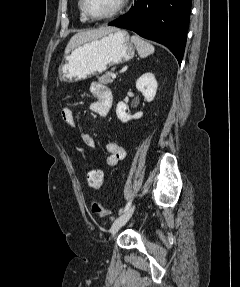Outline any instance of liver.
<instances>
[{
    "label": "liver",
    "instance_id": "1",
    "mask_svg": "<svg viewBox=\"0 0 240 287\" xmlns=\"http://www.w3.org/2000/svg\"><path fill=\"white\" fill-rule=\"evenodd\" d=\"M116 29H117L116 27H112V26H103L98 29L78 32L74 36H72L70 41L68 42L65 48V54L69 53L72 49H74L75 47L87 41L100 38L106 35L107 33H110Z\"/></svg>",
    "mask_w": 240,
    "mask_h": 287
}]
</instances>
